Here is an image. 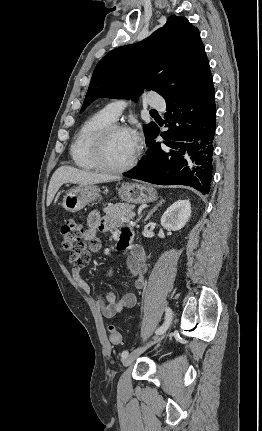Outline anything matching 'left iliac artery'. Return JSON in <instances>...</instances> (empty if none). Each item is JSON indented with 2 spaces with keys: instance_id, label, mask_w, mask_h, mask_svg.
Returning a JSON list of instances; mask_svg holds the SVG:
<instances>
[{
  "instance_id": "1",
  "label": "left iliac artery",
  "mask_w": 262,
  "mask_h": 431,
  "mask_svg": "<svg viewBox=\"0 0 262 431\" xmlns=\"http://www.w3.org/2000/svg\"><path fill=\"white\" fill-rule=\"evenodd\" d=\"M172 314H173L172 310L170 308H166L165 321L162 324V326L157 329L156 334L163 333L169 327V325L172 321ZM127 355H128V351H124L121 356L124 359V358H126Z\"/></svg>"
}]
</instances>
